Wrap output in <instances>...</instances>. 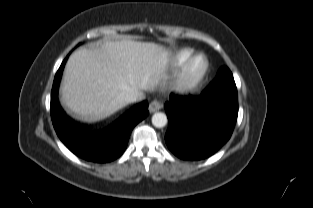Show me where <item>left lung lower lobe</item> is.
I'll return each instance as SVG.
<instances>
[{
    "label": "left lung lower lobe",
    "mask_w": 313,
    "mask_h": 208,
    "mask_svg": "<svg viewBox=\"0 0 313 208\" xmlns=\"http://www.w3.org/2000/svg\"><path fill=\"white\" fill-rule=\"evenodd\" d=\"M165 110L168 148L184 160L205 159L232 135L238 116L235 82L214 79L199 96L171 94Z\"/></svg>",
    "instance_id": "1"
}]
</instances>
